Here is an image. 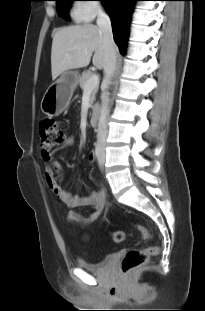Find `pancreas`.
Wrapping results in <instances>:
<instances>
[{
    "mask_svg": "<svg viewBox=\"0 0 205 311\" xmlns=\"http://www.w3.org/2000/svg\"><path fill=\"white\" fill-rule=\"evenodd\" d=\"M93 76V73L90 71H86L84 73H82V76L79 77V85L81 87V89L84 91L85 89V85L87 83V81ZM98 91V86H96L94 89H92L91 92V97H90V107H92V104L95 100V95Z\"/></svg>",
    "mask_w": 205,
    "mask_h": 311,
    "instance_id": "pancreas-1",
    "label": "pancreas"
}]
</instances>
